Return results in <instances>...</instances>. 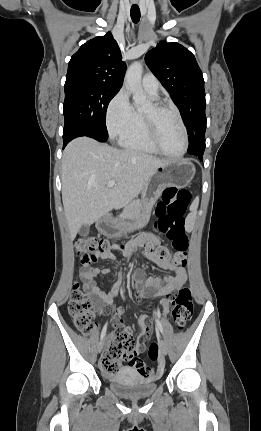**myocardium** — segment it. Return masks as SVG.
I'll return each mask as SVG.
<instances>
[{
	"instance_id": "obj_1",
	"label": "myocardium",
	"mask_w": 261,
	"mask_h": 431,
	"mask_svg": "<svg viewBox=\"0 0 261 431\" xmlns=\"http://www.w3.org/2000/svg\"><path fill=\"white\" fill-rule=\"evenodd\" d=\"M151 107H152V111L150 113H145V112L142 113L143 121H144V124H145V127H146V131H147V134H148V137H149L151 143L154 145V147L157 149V151L160 154H162V155H164V156H166L168 158H171V159L182 158L186 154V152L188 150V147H189V137H188V132H187L186 125H185V123L183 121V118H182L179 110L176 107L172 106V105L164 104V103H160V102H153L151 104ZM164 111H171V112H173L176 115L177 120H178V122L180 124V127L182 129L183 138H184V146H183L182 151L179 154H176V155H171V154L167 153L162 148V146H161V144L159 142V139H158V130H157V123H156V116H157V114H159L161 112H164Z\"/></svg>"
}]
</instances>
